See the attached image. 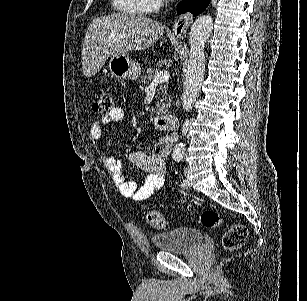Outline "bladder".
Instances as JSON below:
<instances>
[{
	"label": "bladder",
	"instance_id": "1",
	"mask_svg": "<svg viewBox=\"0 0 307 301\" xmlns=\"http://www.w3.org/2000/svg\"><path fill=\"white\" fill-rule=\"evenodd\" d=\"M204 240L203 234L196 228L181 227L152 236L157 250L172 253H184L196 250Z\"/></svg>",
	"mask_w": 307,
	"mask_h": 301
}]
</instances>
